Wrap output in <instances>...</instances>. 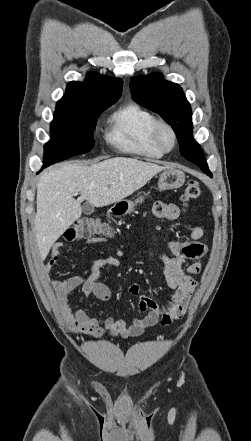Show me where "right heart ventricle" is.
<instances>
[{"label":"right heart ventricle","mask_w":251,"mask_h":441,"mask_svg":"<svg viewBox=\"0 0 251 441\" xmlns=\"http://www.w3.org/2000/svg\"><path fill=\"white\" fill-rule=\"evenodd\" d=\"M156 117L135 102H128L112 112L108 119L106 141L119 152L148 159H160L164 153L151 141Z\"/></svg>","instance_id":"obj_1"}]
</instances>
